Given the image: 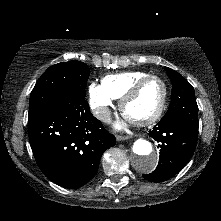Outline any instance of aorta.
Wrapping results in <instances>:
<instances>
[{"mask_svg": "<svg viewBox=\"0 0 221 221\" xmlns=\"http://www.w3.org/2000/svg\"><path fill=\"white\" fill-rule=\"evenodd\" d=\"M132 154V164L139 172L149 173L156 168L158 156L148 140L137 138L132 144Z\"/></svg>", "mask_w": 221, "mask_h": 221, "instance_id": "762f6f07", "label": "aorta"}]
</instances>
